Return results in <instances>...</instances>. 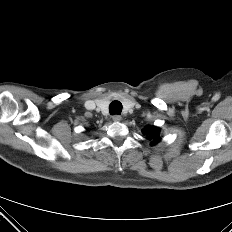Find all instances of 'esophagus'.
<instances>
[{
	"mask_svg": "<svg viewBox=\"0 0 232 232\" xmlns=\"http://www.w3.org/2000/svg\"><path fill=\"white\" fill-rule=\"evenodd\" d=\"M112 119L115 122H119V121H121L122 117L120 115H114V116H112Z\"/></svg>",
	"mask_w": 232,
	"mask_h": 232,
	"instance_id": "1",
	"label": "esophagus"
}]
</instances>
